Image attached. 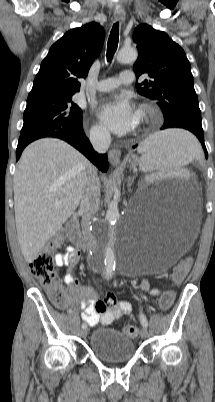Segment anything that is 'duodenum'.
Returning <instances> with one entry per match:
<instances>
[{"label": "duodenum", "instance_id": "duodenum-1", "mask_svg": "<svg viewBox=\"0 0 215 402\" xmlns=\"http://www.w3.org/2000/svg\"><path fill=\"white\" fill-rule=\"evenodd\" d=\"M64 231L66 236L75 246L86 248L87 242L79 230V223L77 216H72L65 224Z\"/></svg>", "mask_w": 215, "mask_h": 402}]
</instances>
